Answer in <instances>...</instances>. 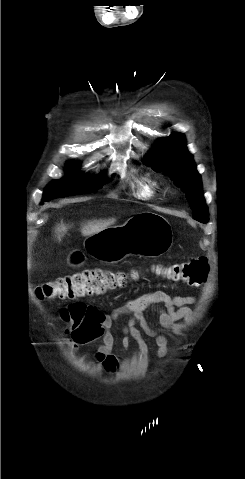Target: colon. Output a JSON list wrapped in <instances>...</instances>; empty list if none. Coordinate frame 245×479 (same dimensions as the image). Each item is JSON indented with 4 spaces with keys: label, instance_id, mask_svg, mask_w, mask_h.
Returning a JSON list of instances; mask_svg holds the SVG:
<instances>
[{
    "label": "colon",
    "instance_id": "obj_1",
    "mask_svg": "<svg viewBox=\"0 0 245 479\" xmlns=\"http://www.w3.org/2000/svg\"><path fill=\"white\" fill-rule=\"evenodd\" d=\"M158 271L168 280L195 286L206 281L209 263L206 257L200 256L161 267ZM136 277V272L125 273L105 268L86 269L39 285L36 295L47 300L82 299L122 288ZM60 316L67 323L70 335L78 339L79 332L86 326L87 304H71L61 311Z\"/></svg>",
    "mask_w": 245,
    "mask_h": 479
}]
</instances>
